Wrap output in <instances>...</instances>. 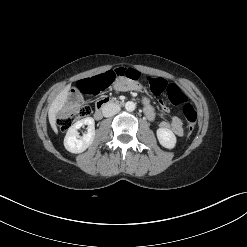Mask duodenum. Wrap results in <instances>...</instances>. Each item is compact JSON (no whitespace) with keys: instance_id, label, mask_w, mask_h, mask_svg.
I'll return each mask as SVG.
<instances>
[{"instance_id":"410a0bca","label":"duodenum","mask_w":247,"mask_h":247,"mask_svg":"<svg viewBox=\"0 0 247 247\" xmlns=\"http://www.w3.org/2000/svg\"><path fill=\"white\" fill-rule=\"evenodd\" d=\"M124 104L123 101L115 98H103L97 102L96 109L94 112V118L100 120L103 117L104 111L109 107H120Z\"/></svg>"}]
</instances>
